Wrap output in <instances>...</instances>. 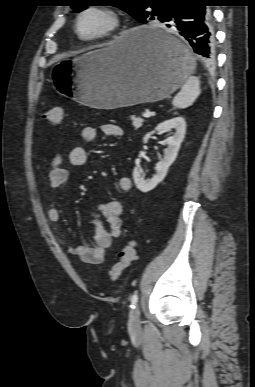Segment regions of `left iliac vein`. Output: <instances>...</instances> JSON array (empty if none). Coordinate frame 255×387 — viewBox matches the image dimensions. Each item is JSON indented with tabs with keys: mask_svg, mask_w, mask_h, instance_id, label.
Segmentation results:
<instances>
[{
	"mask_svg": "<svg viewBox=\"0 0 255 387\" xmlns=\"http://www.w3.org/2000/svg\"><path fill=\"white\" fill-rule=\"evenodd\" d=\"M129 327L133 331H136L140 328V310L138 306H135V308L130 313Z\"/></svg>",
	"mask_w": 255,
	"mask_h": 387,
	"instance_id": "obj_1",
	"label": "left iliac vein"
}]
</instances>
